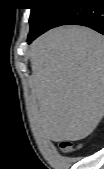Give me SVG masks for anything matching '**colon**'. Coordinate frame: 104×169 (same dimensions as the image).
<instances>
[{
	"label": "colon",
	"mask_w": 104,
	"mask_h": 169,
	"mask_svg": "<svg viewBox=\"0 0 104 169\" xmlns=\"http://www.w3.org/2000/svg\"><path fill=\"white\" fill-rule=\"evenodd\" d=\"M61 149L64 151V152H67V153H70V152H74L76 150L79 149V147L77 146H74L71 142L69 141H63L61 143Z\"/></svg>",
	"instance_id": "5ec220e1"
}]
</instances>
